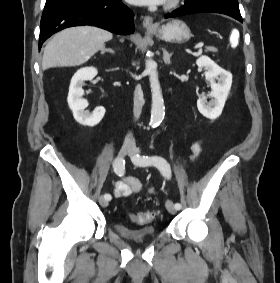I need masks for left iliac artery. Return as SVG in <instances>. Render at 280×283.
I'll use <instances>...</instances> for the list:
<instances>
[{
	"mask_svg": "<svg viewBox=\"0 0 280 283\" xmlns=\"http://www.w3.org/2000/svg\"><path fill=\"white\" fill-rule=\"evenodd\" d=\"M136 163L140 166L153 165V166L157 167L165 177H167L168 179L171 177V168H170L169 163L164 158H162L160 156L148 157V156L137 155ZM175 207H176V209L179 210L181 208V204L176 203Z\"/></svg>",
	"mask_w": 280,
	"mask_h": 283,
	"instance_id": "obj_1",
	"label": "left iliac artery"
}]
</instances>
